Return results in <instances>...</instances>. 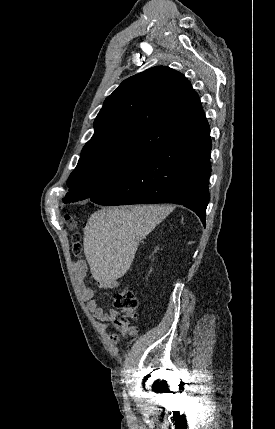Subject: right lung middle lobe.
Wrapping results in <instances>:
<instances>
[{"instance_id":"dd1d6c3e","label":"right lung middle lobe","mask_w":275,"mask_h":429,"mask_svg":"<svg viewBox=\"0 0 275 429\" xmlns=\"http://www.w3.org/2000/svg\"><path fill=\"white\" fill-rule=\"evenodd\" d=\"M150 155L127 147L105 148L79 159L63 201L76 202L99 195L135 171Z\"/></svg>"}]
</instances>
